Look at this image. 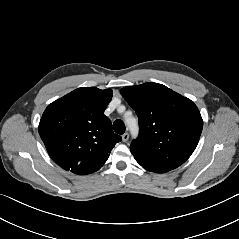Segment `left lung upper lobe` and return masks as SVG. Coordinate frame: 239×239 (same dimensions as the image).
<instances>
[{"label":"left lung upper lobe","mask_w":239,"mask_h":239,"mask_svg":"<svg viewBox=\"0 0 239 239\" xmlns=\"http://www.w3.org/2000/svg\"><path fill=\"white\" fill-rule=\"evenodd\" d=\"M136 111L139 136L130 145L137 162L164 173L179 167L195 150L203 120L193 101L158 83L120 90Z\"/></svg>","instance_id":"5c2ea615"}]
</instances>
